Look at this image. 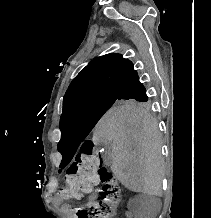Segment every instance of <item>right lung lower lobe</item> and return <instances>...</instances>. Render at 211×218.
Here are the masks:
<instances>
[{"label":"right lung lower lobe","instance_id":"1","mask_svg":"<svg viewBox=\"0 0 211 218\" xmlns=\"http://www.w3.org/2000/svg\"><path fill=\"white\" fill-rule=\"evenodd\" d=\"M122 97L131 98H148L146 95V89L139 81L138 75H136L121 92Z\"/></svg>","mask_w":211,"mask_h":218}]
</instances>
